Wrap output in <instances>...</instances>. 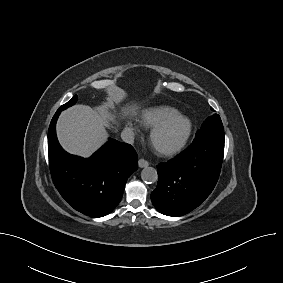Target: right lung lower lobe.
<instances>
[{"label": "right lung lower lobe", "instance_id": "right-lung-lower-lobe-1", "mask_svg": "<svg viewBox=\"0 0 283 283\" xmlns=\"http://www.w3.org/2000/svg\"><path fill=\"white\" fill-rule=\"evenodd\" d=\"M53 116L48 130V155L52 180L62 197L77 211L103 217L119 204L128 177L138 168L133 147L110 139L90 158L67 153L56 136Z\"/></svg>", "mask_w": 283, "mask_h": 283}]
</instances>
